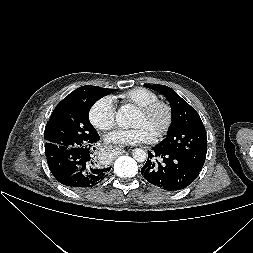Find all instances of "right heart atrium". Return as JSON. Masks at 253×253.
<instances>
[{"instance_id":"right-heart-atrium-1","label":"right heart atrium","mask_w":253,"mask_h":253,"mask_svg":"<svg viewBox=\"0 0 253 253\" xmlns=\"http://www.w3.org/2000/svg\"><path fill=\"white\" fill-rule=\"evenodd\" d=\"M92 125L101 131L112 129L116 123V106L110 96H103L96 100L89 111Z\"/></svg>"}]
</instances>
